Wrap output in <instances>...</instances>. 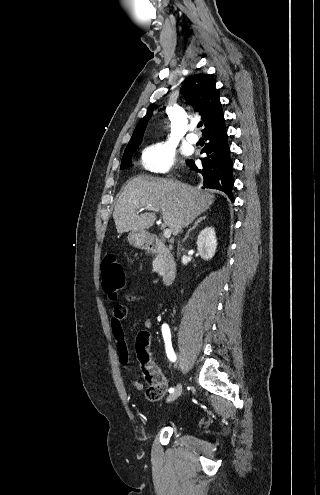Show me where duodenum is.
Returning a JSON list of instances; mask_svg holds the SVG:
<instances>
[{"instance_id": "duodenum-1", "label": "duodenum", "mask_w": 320, "mask_h": 495, "mask_svg": "<svg viewBox=\"0 0 320 495\" xmlns=\"http://www.w3.org/2000/svg\"><path fill=\"white\" fill-rule=\"evenodd\" d=\"M150 252L157 254L161 259L162 281L169 285L173 282L177 272L175 259L168 246L157 236H150L145 244Z\"/></svg>"}]
</instances>
